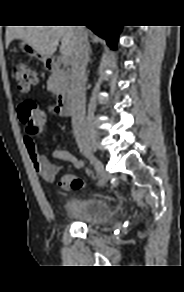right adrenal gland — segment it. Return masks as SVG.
Here are the masks:
<instances>
[{
  "label": "right adrenal gland",
  "instance_id": "1",
  "mask_svg": "<svg viewBox=\"0 0 184 292\" xmlns=\"http://www.w3.org/2000/svg\"><path fill=\"white\" fill-rule=\"evenodd\" d=\"M91 53H92V50H91V48H90V50H89V57H88V61H89L90 63L92 62L91 57H90Z\"/></svg>",
  "mask_w": 184,
  "mask_h": 292
}]
</instances>
